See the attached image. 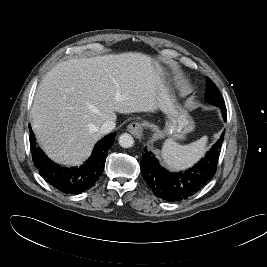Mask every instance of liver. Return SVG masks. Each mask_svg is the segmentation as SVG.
<instances>
[{"mask_svg": "<svg viewBox=\"0 0 267 267\" xmlns=\"http://www.w3.org/2000/svg\"><path fill=\"white\" fill-rule=\"evenodd\" d=\"M160 77L141 53L70 59L52 68L39 84L31 109L32 128L55 162L79 165L117 112H155Z\"/></svg>", "mask_w": 267, "mask_h": 267, "instance_id": "obj_1", "label": "liver"}]
</instances>
